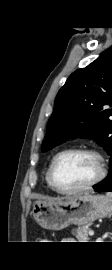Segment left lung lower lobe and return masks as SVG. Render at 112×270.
<instances>
[{
	"label": "left lung lower lobe",
	"mask_w": 112,
	"mask_h": 270,
	"mask_svg": "<svg viewBox=\"0 0 112 270\" xmlns=\"http://www.w3.org/2000/svg\"><path fill=\"white\" fill-rule=\"evenodd\" d=\"M110 170L108 176L100 183L93 186L97 192L111 191L112 192V156L110 161Z\"/></svg>",
	"instance_id": "0a47b994"
}]
</instances>
